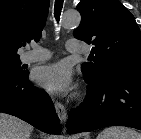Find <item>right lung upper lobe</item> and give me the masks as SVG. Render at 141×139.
Segmentation results:
<instances>
[{"instance_id": "1", "label": "right lung upper lobe", "mask_w": 141, "mask_h": 139, "mask_svg": "<svg viewBox=\"0 0 141 139\" xmlns=\"http://www.w3.org/2000/svg\"><path fill=\"white\" fill-rule=\"evenodd\" d=\"M48 10L49 0H0V56H19L24 42L39 41Z\"/></svg>"}]
</instances>
